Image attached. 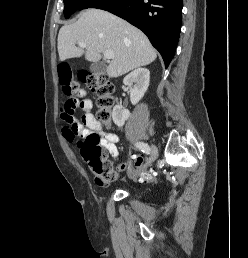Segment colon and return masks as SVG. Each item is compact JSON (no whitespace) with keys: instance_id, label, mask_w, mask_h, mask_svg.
<instances>
[{"instance_id":"colon-1","label":"colon","mask_w":248,"mask_h":258,"mask_svg":"<svg viewBox=\"0 0 248 258\" xmlns=\"http://www.w3.org/2000/svg\"><path fill=\"white\" fill-rule=\"evenodd\" d=\"M60 83L63 89L65 102L61 108V116L65 122L64 132L70 141H73L77 130L73 125L74 111L76 108V96L80 90L78 82L72 81L71 70L67 63L59 64ZM78 80L85 83L87 87L96 94L98 100V119L106 125L111 121V109L114 103L112 93L114 85L110 80L99 74L87 72L79 73ZM81 154L90 167V171L97 180L104 183L113 181L116 178V171L112 164L105 159L102 149L101 139L98 134L90 133L77 141ZM128 173L138 175V179L151 181L154 179L153 173H145L147 166L142 155H131L127 162Z\"/></svg>"}]
</instances>
